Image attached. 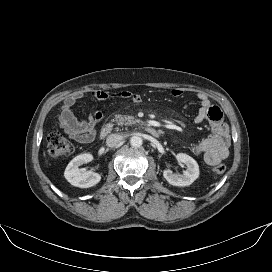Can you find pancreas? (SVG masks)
<instances>
[{
  "label": "pancreas",
  "instance_id": "cf45deb5",
  "mask_svg": "<svg viewBox=\"0 0 272 272\" xmlns=\"http://www.w3.org/2000/svg\"><path fill=\"white\" fill-rule=\"evenodd\" d=\"M115 121L118 125H128V124H135L138 120L134 116L129 115H115Z\"/></svg>",
  "mask_w": 272,
  "mask_h": 272
}]
</instances>
